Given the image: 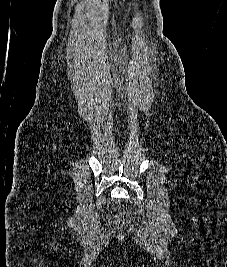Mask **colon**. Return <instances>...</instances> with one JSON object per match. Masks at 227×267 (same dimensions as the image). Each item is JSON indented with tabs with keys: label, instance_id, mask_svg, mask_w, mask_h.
Wrapping results in <instances>:
<instances>
[{
	"label": "colon",
	"instance_id": "5ec220e1",
	"mask_svg": "<svg viewBox=\"0 0 227 267\" xmlns=\"http://www.w3.org/2000/svg\"><path fill=\"white\" fill-rule=\"evenodd\" d=\"M130 216L127 212H122L118 215L116 223L120 227H125L129 224Z\"/></svg>",
	"mask_w": 227,
	"mask_h": 267
}]
</instances>
